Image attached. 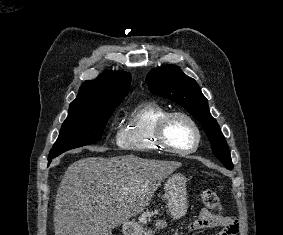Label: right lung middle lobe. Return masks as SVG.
<instances>
[{"label": "right lung middle lobe", "mask_w": 283, "mask_h": 235, "mask_svg": "<svg viewBox=\"0 0 283 235\" xmlns=\"http://www.w3.org/2000/svg\"><path fill=\"white\" fill-rule=\"evenodd\" d=\"M119 104L120 102L70 104L69 114L49 153L48 163L65 151L97 142Z\"/></svg>", "instance_id": "right-lung-middle-lobe-1"}]
</instances>
